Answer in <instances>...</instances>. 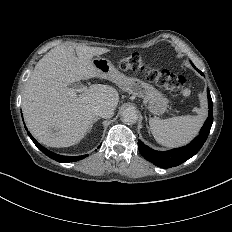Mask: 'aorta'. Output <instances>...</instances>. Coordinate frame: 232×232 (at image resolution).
Instances as JSON below:
<instances>
[{
  "label": "aorta",
  "mask_w": 232,
  "mask_h": 232,
  "mask_svg": "<svg viewBox=\"0 0 232 232\" xmlns=\"http://www.w3.org/2000/svg\"><path fill=\"white\" fill-rule=\"evenodd\" d=\"M122 120L124 123L133 124L138 121V113L135 108L128 107L122 111Z\"/></svg>",
  "instance_id": "obj_1"
}]
</instances>
